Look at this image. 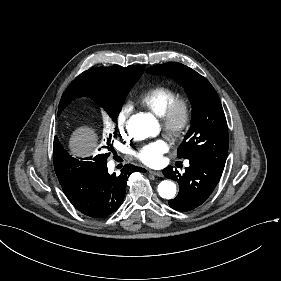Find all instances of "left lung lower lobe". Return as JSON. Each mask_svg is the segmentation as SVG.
<instances>
[{"instance_id": "left-lung-lower-lobe-1", "label": "left lung lower lobe", "mask_w": 281, "mask_h": 281, "mask_svg": "<svg viewBox=\"0 0 281 281\" xmlns=\"http://www.w3.org/2000/svg\"><path fill=\"white\" fill-rule=\"evenodd\" d=\"M190 166L183 175L173 171L171 166L163 174L179 183V193L169 200L171 208L178 211H190L200 206L213 192L223 170L196 158L189 159Z\"/></svg>"}]
</instances>
